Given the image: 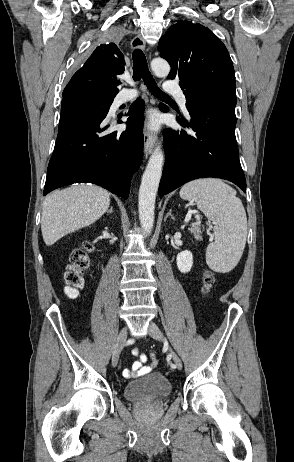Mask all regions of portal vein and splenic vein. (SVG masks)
<instances>
[{"label": "portal vein and splenic vein", "mask_w": 294, "mask_h": 462, "mask_svg": "<svg viewBox=\"0 0 294 462\" xmlns=\"http://www.w3.org/2000/svg\"><path fill=\"white\" fill-rule=\"evenodd\" d=\"M188 222H189V219L186 218V219H185V223H188Z\"/></svg>", "instance_id": "1"}]
</instances>
